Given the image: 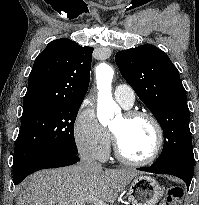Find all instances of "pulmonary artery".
<instances>
[{"label":"pulmonary artery","mask_w":199,"mask_h":205,"mask_svg":"<svg viewBox=\"0 0 199 205\" xmlns=\"http://www.w3.org/2000/svg\"><path fill=\"white\" fill-rule=\"evenodd\" d=\"M114 96L125 108H130L135 101V93L132 87L127 84H120L116 87Z\"/></svg>","instance_id":"pulmonary-artery-1"}]
</instances>
